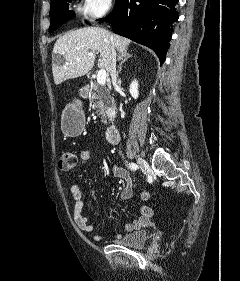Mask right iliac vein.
<instances>
[{
  "label": "right iliac vein",
  "instance_id": "right-iliac-vein-1",
  "mask_svg": "<svg viewBox=\"0 0 240 281\" xmlns=\"http://www.w3.org/2000/svg\"><path fill=\"white\" fill-rule=\"evenodd\" d=\"M137 162H138L140 168L142 169V171H144L145 173L148 172L149 165H148V163L144 159L138 158Z\"/></svg>",
  "mask_w": 240,
  "mask_h": 281
}]
</instances>
